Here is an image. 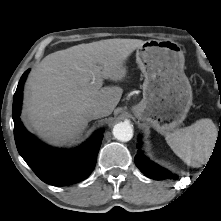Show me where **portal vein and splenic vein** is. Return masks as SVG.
I'll list each match as a JSON object with an SVG mask.
<instances>
[{
  "label": "portal vein and splenic vein",
  "mask_w": 221,
  "mask_h": 221,
  "mask_svg": "<svg viewBox=\"0 0 221 221\" xmlns=\"http://www.w3.org/2000/svg\"><path fill=\"white\" fill-rule=\"evenodd\" d=\"M94 83V82H93ZM98 84L102 85V80H98Z\"/></svg>",
  "instance_id": "18ae733b"
}]
</instances>
